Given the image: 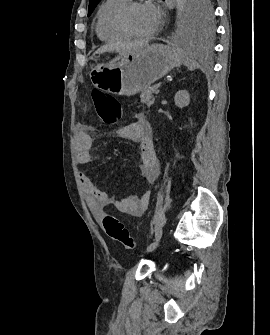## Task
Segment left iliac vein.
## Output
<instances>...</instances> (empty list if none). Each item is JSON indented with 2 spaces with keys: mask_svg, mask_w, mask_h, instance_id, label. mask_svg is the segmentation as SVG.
<instances>
[{
  "mask_svg": "<svg viewBox=\"0 0 270 335\" xmlns=\"http://www.w3.org/2000/svg\"><path fill=\"white\" fill-rule=\"evenodd\" d=\"M159 245V240L154 241L153 243H151L147 248H146V252H151L154 249H156Z\"/></svg>",
  "mask_w": 270,
  "mask_h": 335,
  "instance_id": "1",
  "label": "left iliac vein"
}]
</instances>
